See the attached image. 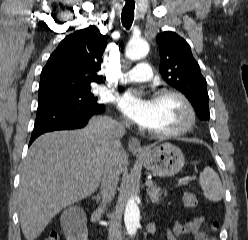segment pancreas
<instances>
[{
  "mask_svg": "<svg viewBox=\"0 0 248 240\" xmlns=\"http://www.w3.org/2000/svg\"><path fill=\"white\" fill-rule=\"evenodd\" d=\"M148 194L152 202L158 203L161 200L162 192L156 185L148 186Z\"/></svg>",
  "mask_w": 248,
  "mask_h": 240,
  "instance_id": "cf45deb5",
  "label": "pancreas"
}]
</instances>
